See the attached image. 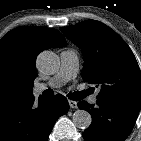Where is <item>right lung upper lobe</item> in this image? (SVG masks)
Returning a JSON list of instances; mask_svg holds the SVG:
<instances>
[{
    "label": "right lung upper lobe",
    "instance_id": "obj_1",
    "mask_svg": "<svg viewBox=\"0 0 141 141\" xmlns=\"http://www.w3.org/2000/svg\"><path fill=\"white\" fill-rule=\"evenodd\" d=\"M62 34L51 28L23 26L0 40V104L32 95L37 55L66 46Z\"/></svg>",
    "mask_w": 141,
    "mask_h": 141
}]
</instances>
